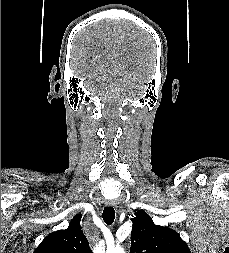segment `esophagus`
<instances>
[{
  "instance_id": "34e87169",
  "label": "esophagus",
  "mask_w": 229,
  "mask_h": 253,
  "mask_svg": "<svg viewBox=\"0 0 229 253\" xmlns=\"http://www.w3.org/2000/svg\"><path fill=\"white\" fill-rule=\"evenodd\" d=\"M106 205H107L108 207H114L115 209L118 208V204H117L116 201H107V202H106Z\"/></svg>"
}]
</instances>
